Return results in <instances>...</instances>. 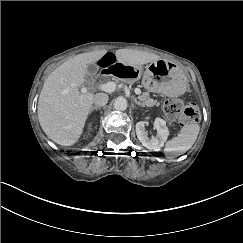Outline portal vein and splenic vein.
<instances>
[{"instance_id": "portal-vein-and-splenic-vein-1", "label": "portal vein and splenic vein", "mask_w": 243, "mask_h": 243, "mask_svg": "<svg viewBox=\"0 0 243 243\" xmlns=\"http://www.w3.org/2000/svg\"><path fill=\"white\" fill-rule=\"evenodd\" d=\"M91 87L87 86V85H83L81 87V92H80V100H82V98L84 97V95L86 93H88V91L90 90ZM92 88L94 89H98V90H101V91H104L106 93H111L115 90L116 88V84L112 81H109V82H106V83H97V84H94L92 86ZM135 94L137 95H141V90L136 88L135 89Z\"/></svg>"}]
</instances>
